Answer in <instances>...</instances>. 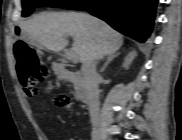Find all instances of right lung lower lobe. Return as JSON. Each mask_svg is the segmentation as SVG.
<instances>
[{
  "instance_id": "right-lung-lower-lobe-1",
  "label": "right lung lower lobe",
  "mask_w": 182,
  "mask_h": 140,
  "mask_svg": "<svg viewBox=\"0 0 182 140\" xmlns=\"http://www.w3.org/2000/svg\"><path fill=\"white\" fill-rule=\"evenodd\" d=\"M156 6L157 0H99L83 10L143 43L152 32Z\"/></svg>"
}]
</instances>
